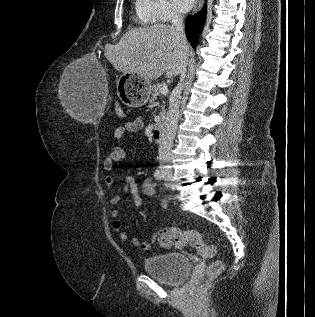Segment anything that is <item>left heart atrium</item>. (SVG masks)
Here are the masks:
<instances>
[{
	"mask_svg": "<svg viewBox=\"0 0 315 317\" xmlns=\"http://www.w3.org/2000/svg\"><path fill=\"white\" fill-rule=\"evenodd\" d=\"M172 6L178 12L185 13L195 4V0H171Z\"/></svg>",
	"mask_w": 315,
	"mask_h": 317,
	"instance_id": "left-heart-atrium-1",
	"label": "left heart atrium"
}]
</instances>
